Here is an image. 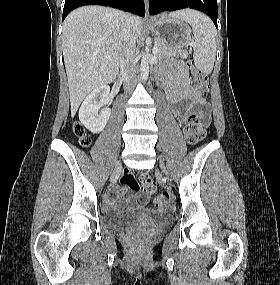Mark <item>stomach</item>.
<instances>
[{"mask_svg":"<svg viewBox=\"0 0 280 285\" xmlns=\"http://www.w3.org/2000/svg\"><path fill=\"white\" fill-rule=\"evenodd\" d=\"M149 27L158 38L176 48L184 47L192 40L190 27L181 19L170 15L156 17L149 23Z\"/></svg>","mask_w":280,"mask_h":285,"instance_id":"obj_1","label":"stomach"}]
</instances>
